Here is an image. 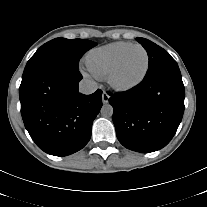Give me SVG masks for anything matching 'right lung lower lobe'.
I'll use <instances>...</instances> for the list:
<instances>
[{
  "label": "right lung lower lobe",
  "instance_id": "right-lung-lower-lobe-1",
  "mask_svg": "<svg viewBox=\"0 0 207 207\" xmlns=\"http://www.w3.org/2000/svg\"><path fill=\"white\" fill-rule=\"evenodd\" d=\"M78 67L52 63L24 74L19 88L21 114L31 138L44 152L67 156L91 137L102 106V90L78 93Z\"/></svg>",
  "mask_w": 207,
  "mask_h": 207
}]
</instances>
